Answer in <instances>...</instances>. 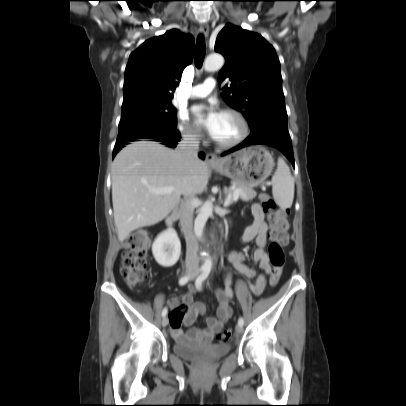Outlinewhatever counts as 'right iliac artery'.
Returning a JSON list of instances; mask_svg holds the SVG:
<instances>
[{
  "instance_id": "obj_1",
  "label": "right iliac artery",
  "mask_w": 406,
  "mask_h": 406,
  "mask_svg": "<svg viewBox=\"0 0 406 406\" xmlns=\"http://www.w3.org/2000/svg\"><path fill=\"white\" fill-rule=\"evenodd\" d=\"M200 271H203V268L200 269ZM193 275H188V276H183L179 279V285L183 286L185 285L191 278ZM167 315V308L165 307L162 310V317H165Z\"/></svg>"
}]
</instances>
